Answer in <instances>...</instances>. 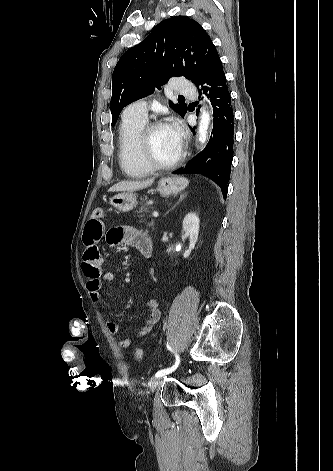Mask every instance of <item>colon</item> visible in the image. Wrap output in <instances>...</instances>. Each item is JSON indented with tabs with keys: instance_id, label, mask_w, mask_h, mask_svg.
<instances>
[{
	"instance_id": "5ec220e1",
	"label": "colon",
	"mask_w": 333,
	"mask_h": 471,
	"mask_svg": "<svg viewBox=\"0 0 333 471\" xmlns=\"http://www.w3.org/2000/svg\"><path fill=\"white\" fill-rule=\"evenodd\" d=\"M103 216V209L102 208H95L92 211L91 217L93 218H100ZM143 356V349L142 348H137L135 351V357L140 359Z\"/></svg>"
}]
</instances>
